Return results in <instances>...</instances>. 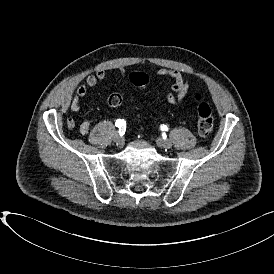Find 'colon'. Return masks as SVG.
I'll return each mask as SVG.
<instances>
[{"instance_id": "1", "label": "colon", "mask_w": 274, "mask_h": 274, "mask_svg": "<svg viewBox=\"0 0 274 274\" xmlns=\"http://www.w3.org/2000/svg\"><path fill=\"white\" fill-rule=\"evenodd\" d=\"M131 83L137 87L143 88L148 82L147 74L139 71H134L129 75ZM194 102L197 104V127L201 134H209L213 127V115L210 106L203 101L202 97L194 93L192 96ZM122 94L119 92L114 93L108 99V102L111 106L117 107L122 102ZM76 124V119L70 117L67 121L69 128H73Z\"/></svg>"}]
</instances>
